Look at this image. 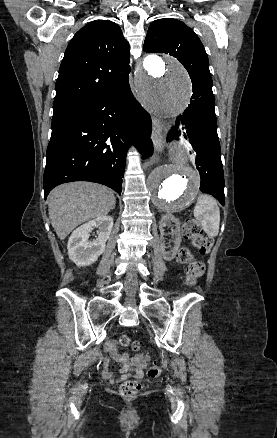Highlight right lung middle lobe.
Wrapping results in <instances>:
<instances>
[{"label": "right lung middle lobe", "instance_id": "dd1d6c3e", "mask_svg": "<svg viewBox=\"0 0 277 438\" xmlns=\"http://www.w3.org/2000/svg\"><path fill=\"white\" fill-rule=\"evenodd\" d=\"M63 111H54L53 118L60 115Z\"/></svg>", "mask_w": 277, "mask_h": 438}]
</instances>
